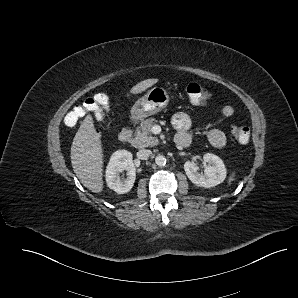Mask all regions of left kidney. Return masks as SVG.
I'll return each mask as SVG.
<instances>
[{
    "label": "left kidney",
    "mask_w": 298,
    "mask_h": 298,
    "mask_svg": "<svg viewBox=\"0 0 298 298\" xmlns=\"http://www.w3.org/2000/svg\"><path fill=\"white\" fill-rule=\"evenodd\" d=\"M203 159L207 166L204 174L198 172V166L193 162H185L184 169L191 182L208 188L224 182L228 174L224 161L213 153H205Z\"/></svg>",
    "instance_id": "left-kidney-1"
}]
</instances>
